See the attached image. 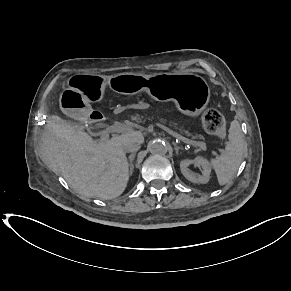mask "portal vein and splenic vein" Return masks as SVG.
I'll return each instance as SVG.
<instances>
[{
	"label": "portal vein and splenic vein",
	"mask_w": 291,
	"mask_h": 291,
	"mask_svg": "<svg viewBox=\"0 0 291 291\" xmlns=\"http://www.w3.org/2000/svg\"><path fill=\"white\" fill-rule=\"evenodd\" d=\"M155 125L161 129H163L164 131H166L170 135H172L178 139H181L185 143H188V144H191L194 146H199L203 150L206 149V145L203 142H197V141H192L190 139H187V138L181 136L180 134H178L177 132L169 129L168 127H166L165 125H162L160 123H155ZM130 131H133L132 126L117 122V123L109 126L108 128H106L105 130L101 131V139L102 140L108 139V137L111 133H126V132H130Z\"/></svg>",
	"instance_id": "portal-vein-and-splenic-vein-1"
}]
</instances>
